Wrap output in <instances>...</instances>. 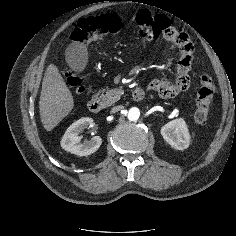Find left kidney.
Instances as JSON below:
<instances>
[{"label": "left kidney", "mask_w": 236, "mask_h": 236, "mask_svg": "<svg viewBox=\"0 0 236 236\" xmlns=\"http://www.w3.org/2000/svg\"><path fill=\"white\" fill-rule=\"evenodd\" d=\"M161 134L164 140L177 150H184L189 147L190 135L182 118L165 124L161 128Z\"/></svg>", "instance_id": "left-kidney-1"}]
</instances>
